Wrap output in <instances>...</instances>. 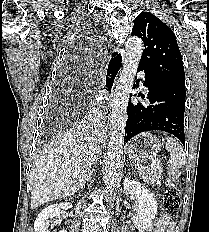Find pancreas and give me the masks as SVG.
Here are the masks:
<instances>
[{"instance_id":"pancreas-1","label":"pancreas","mask_w":209,"mask_h":232,"mask_svg":"<svg viewBox=\"0 0 209 232\" xmlns=\"http://www.w3.org/2000/svg\"><path fill=\"white\" fill-rule=\"evenodd\" d=\"M139 174L148 183H151L153 186H159L162 179V166L157 165L151 169L141 168L139 169Z\"/></svg>"}]
</instances>
